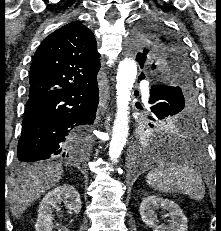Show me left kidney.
Segmentation results:
<instances>
[{"mask_svg":"<svg viewBox=\"0 0 221 231\" xmlns=\"http://www.w3.org/2000/svg\"><path fill=\"white\" fill-rule=\"evenodd\" d=\"M168 211L169 224L158 225L156 210ZM142 221L154 231H187V218L173 201L158 196L145 197L139 208Z\"/></svg>","mask_w":221,"mask_h":231,"instance_id":"5707ae66","label":"left kidney"}]
</instances>
